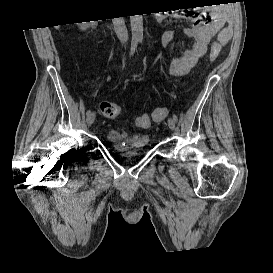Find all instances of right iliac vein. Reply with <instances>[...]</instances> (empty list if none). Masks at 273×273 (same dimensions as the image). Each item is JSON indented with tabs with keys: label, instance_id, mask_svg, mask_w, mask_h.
Instances as JSON below:
<instances>
[{
	"label": "right iliac vein",
	"instance_id": "obj_1",
	"mask_svg": "<svg viewBox=\"0 0 273 273\" xmlns=\"http://www.w3.org/2000/svg\"><path fill=\"white\" fill-rule=\"evenodd\" d=\"M94 120H95V113L94 112L89 113L86 118L87 126L90 127L93 124Z\"/></svg>",
	"mask_w": 273,
	"mask_h": 273
}]
</instances>
